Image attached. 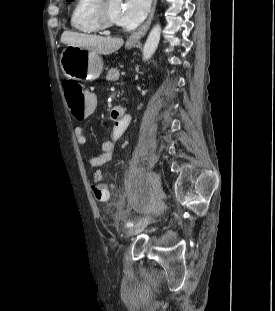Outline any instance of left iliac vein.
I'll use <instances>...</instances> for the list:
<instances>
[{
    "label": "left iliac vein",
    "mask_w": 275,
    "mask_h": 311,
    "mask_svg": "<svg viewBox=\"0 0 275 311\" xmlns=\"http://www.w3.org/2000/svg\"><path fill=\"white\" fill-rule=\"evenodd\" d=\"M149 223H150V217H144L140 219L134 226H132L131 228L127 230L126 235L133 236V235L140 233L147 227Z\"/></svg>",
    "instance_id": "1"
}]
</instances>
